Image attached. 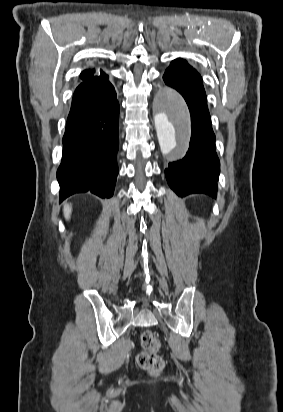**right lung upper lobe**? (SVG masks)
Segmentation results:
<instances>
[{
	"label": "right lung upper lobe",
	"instance_id": "right-lung-upper-lobe-1",
	"mask_svg": "<svg viewBox=\"0 0 283 412\" xmlns=\"http://www.w3.org/2000/svg\"><path fill=\"white\" fill-rule=\"evenodd\" d=\"M95 70H85L80 74V77L82 80L94 77V76H101V77H107V75L102 71V70H98L97 73L94 75Z\"/></svg>",
	"mask_w": 283,
	"mask_h": 412
}]
</instances>
